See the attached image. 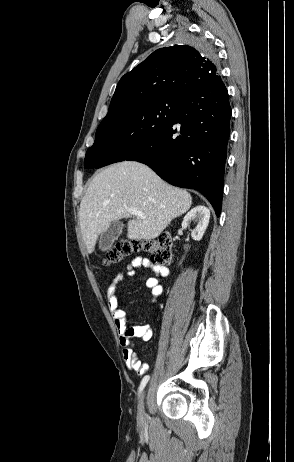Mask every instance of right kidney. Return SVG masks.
Segmentation results:
<instances>
[{
    "label": "right kidney",
    "instance_id": "right-kidney-1",
    "mask_svg": "<svg viewBox=\"0 0 294 462\" xmlns=\"http://www.w3.org/2000/svg\"><path fill=\"white\" fill-rule=\"evenodd\" d=\"M210 219V211L205 206L199 205L191 209L183 219L182 228L186 229L191 221L197 223V226L191 232V237L200 241L207 229Z\"/></svg>",
    "mask_w": 294,
    "mask_h": 462
}]
</instances>
